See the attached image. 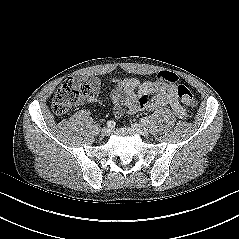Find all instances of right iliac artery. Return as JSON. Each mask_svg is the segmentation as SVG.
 <instances>
[{
    "mask_svg": "<svg viewBox=\"0 0 239 239\" xmlns=\"http://www.w3.org/2000/svg\"><path fill=\"white\" fill-rule=\"evenodd\" d=\"M107 126L110 127V128H113V127H115V122L110 120V121L107 122Z\"/></svg>",
    "mask_w": 239,
    "mask_h": 239,
    "instance_id": "right-iliac-artery-1",
    "label": "right iliac artery"
}]
</instances>
